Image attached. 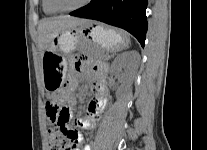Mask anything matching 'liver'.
Returning a JSON list of instances; mask_svg holds the SVG:
<instances>
[{
    "instance_id": "liver-1",
    "label": "liver",
    "mask_w": 207,
    "mask_h": 150,
    "mask_svg": "<svg viewBox=\"0 0 207 150\" xmlns=\"http://www.w3.org/2000/svg\"><path fill=\"white\" fill-rule=\"evenodd\" d=\"M88 22L90 21L87 19L70 16H58L42 19L38 26L39 49L44 52L55 35Z\"/></svg>"
}]
</instances>
